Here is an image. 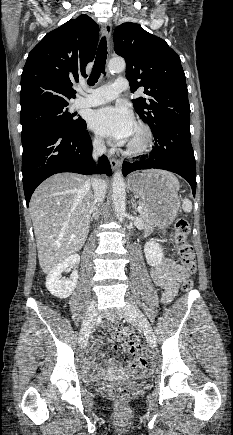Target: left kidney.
<instances>
[{"instance_id":"5707ae66","label":"left kidney","mask_w":233,"mask_h":435,"mask_svg":"<svg viewBox=\"0 0 233 435\" xmlns=\"http://www.w3.org/2000/svg\"><path fill=\"white\" fill-rule=\"evenodd\" d=\"M144 253L147 260V263L150 266L158 265L162 262L164 253L163 248L159 243L154 241L146 242L144 246Z\"/></svg>"}]
</instances>
